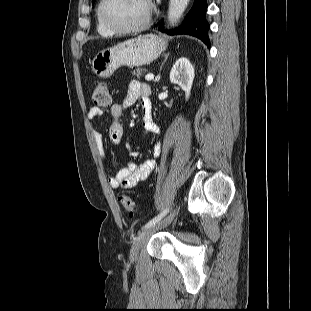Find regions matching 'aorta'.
<instances>
[{
    "instance_id": "aorta-1",
    "label": "aorta",
    "mask_w": 311,
    "mask_h": 311,
    "mask_svg": "<svg viewBox=\"0 0 311 311\" xmlns=\"http://www.w3.org/2000/svg\"><path fill=\"white\" fill-rule=\"evenodd\" d=\"M189 0H170L168 9V21L176 23L184 13Z\"/></svg>"
}]
</instances>
